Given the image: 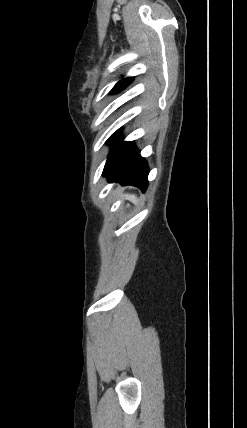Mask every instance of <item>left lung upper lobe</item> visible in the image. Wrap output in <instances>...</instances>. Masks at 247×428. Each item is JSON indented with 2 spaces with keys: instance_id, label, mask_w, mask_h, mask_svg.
<instances>
[{
  "instance_id": "left-lung-upper-lobe-1",
  "label": "left lung upper lobe",
  "mask_w": 247,
  "mask_h": 428,
  "mask_svg": "<svg viewBox=\"0 0 247 428\" xmlns=\"http://www.w3.org/2000/svg\"><path fill=\"white\" fill-rule=\"evenodd\" d=\"M132 80H133V78H132V77H129V78H125V79H123V80L119 81V82L114 86V88L111 90V92H110V93H116V92H118V91L122 90L123 88H125L126 86H128V84H129Z\"/></svg>"
}]
</instances>
